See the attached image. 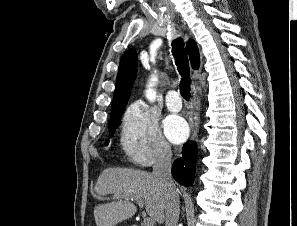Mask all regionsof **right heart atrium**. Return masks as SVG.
<instances>
[{
  "label": "right heart atrium",
  "instance_id": "1",
  "mask_svg": "<svg viewBox=\"0 0 297 226\" xmlns=\"http://www.w3.org/2000/svg\"><path fill=\"white\" fill-rule=\"evenodd\" d=\"M120 142L129 160L141 166L166 160L171 155L155 114L141 101L132 103L125 111Z\"/></svg>",
  "mask_w": 297,
  "mask_h": 226
}]
</instances>
